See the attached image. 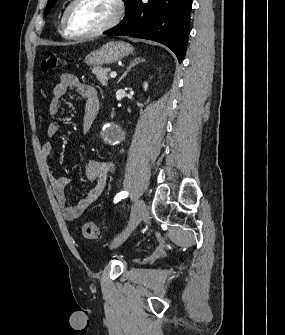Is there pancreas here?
Wrapping results in <instances>:
<instances>
[{"mask_svg":"<svg viewBox=\"0 0 285 335\" xmlns=\"http://www.w3.org/2000/svg\"><path fill=\"white\" fill-rule=\"evenodd\" d=\"M91 70L93 74H95L97 80L101 82L102 86H108V80H110L108 72H111V68H99V66H94Z\"/></svg>","mask_w":285,"mask_h":335,"instance_id":"1","label":"pancreas"}]
</instances>
